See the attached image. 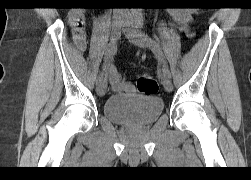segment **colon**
Listing matches in <instances>:
<instances>
[{"instance_id": "obj_1", "label": "colon", "mask_w": 251, "mask_h": 180, "mask_svg": "<svg viewBox=\"0 0 251 180\" xmlns=\"http://www.w3.org/2000/svg\"><path fill=\"white\" fill-rule=\"evenodd\" d=\"M137 88L145 95H154L158 91V83L153 76L145 74L139 77Z\"/></svg>"}]
</instances>
